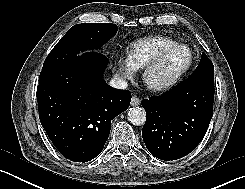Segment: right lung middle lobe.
<instances>
[{
    "instance_id": "dd1d6c3e",
    "label": "right lung middle lobe",
    "mask_w": 245,
    "mask_h": 189,
    "mask_svg": "<svg viewBox=\"0 0 245 189\" xmlns=\"http://www.w3.org/2000/svg\"><path fill=\"white\" fill-rule=\"evenodd\" d=\"M116 24L82 23L71 27L47 56L39 82L55 75L72 62L80 51L100 48L117 32Z\"/></svg>"
}]
</instances>
